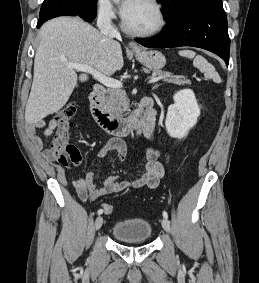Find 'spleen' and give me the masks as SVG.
I'll list each match as a JSON object with an SVG mask.
<instances>
[{"label": "spleen", "instance_id": "3e777b00", "mask_svg": "<svg viewBox=\"0 0 259 283\" xmlns=\"http://www.w3.org/2000/svg\"><path fill=\"white\" fill-rule=\"evenodd\" d=\"M179 55L183 57H187L189 59H193V65L197 69H199L204 75L213 81L220 83L221 79L218 73L215 71V68L212 64H210L204 57L201 55H196L194 51L191 50H181L179 51Z\"/></svg>", "mask_w": 259, "mask_h": 283}]
</instances>
